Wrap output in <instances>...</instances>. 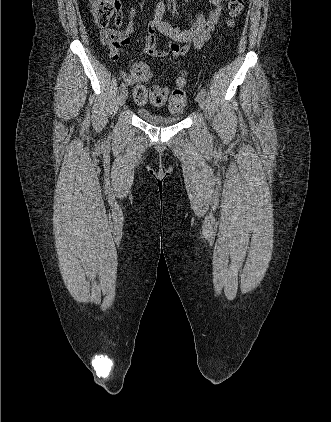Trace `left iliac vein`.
<instances>
[{"label": "left iliac vein", "instance_id": "obj_1", "mask_svg": "<svg viewBox=\"0 0 331 422\" xmlns=\"http://www.w3.org/2000/svg\"><path fill=\"white\" fill-rule=\"evenodd\" d=\"M196 99H197V103L199 104L200 108L203 109L205 107V96L201 92H199L197 94Z\"/></svg>", "mask_w": 331, "mask_h": 422}]
</instances>
